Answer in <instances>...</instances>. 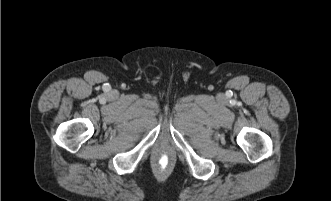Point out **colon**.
Masks as SVG:
<instances>
[{"label":"colon","instance_id":"obj_1","mask_svg":"<svg viewBox=\"0 0 331 201\" xmlns=\"http://www.w3.org/2000/svg\"><path fill=\"white\" fill-rule=\"evenodd\" d=\"M155 164L159 169L167 170L172 165V160L169 155L163 153L156 158Z\"/></svg>","mask_w":331,"mask_h":201}]
</instances>
